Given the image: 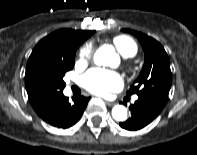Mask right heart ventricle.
<instances>
[{
	"mask_svg": "<svg viewBox=\"0 0 197 155\" xmlns=\"http://www.w3.org/2000/svg\"><path fill=\"white\" fill-rule=\"evenodd\" d=\"M113 43L124 57H133L137 53L136 43L127 36H117L113 39Z\"/></svg>",
	"mask_w": 197,
	"mask_h": 155,
	"instance_id": "1",
	"label": "right heart ventricle"
}]
</instances>
